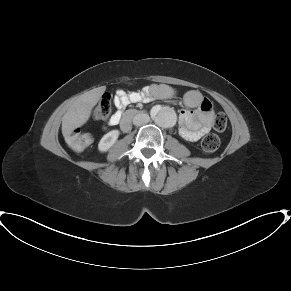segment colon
I'll return each instance as SVG.
<instances>
[{
  "label": "colon",
  "instance_id": "colon-1",
  "mask_svg": "<svg viewBox=\"0 0 291 291\" xmlns=\"http://www.w3.org/2000/svg\"><path fill=\"white\" fill-rule=\"evenodd\" d=\"M112 111V96L110 93H105L94 110V117L97 120H107ZM214 128L224 130L227 126V118L223 113H218L214 119ZM91 140V135L83 130H77L69 139V145L76 151L83 150ZM201 146L205 152H214L220 146V139L209 134L205 136L201 142Z\"/></svg>",
  "mask_w": 291,
  "mask_h": 291
}]
</instances>
